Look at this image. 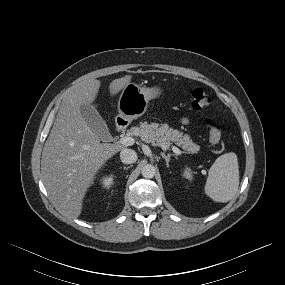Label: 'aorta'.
Masks as SVG:
<instances>
[{
    "label": "aorta",
    "instance_id": "obj_1",
    "mask_svg": "<svg viewBox=\"0 0 285 285\" xmlns=\"http://www.w3.org/2000/svg\"><path fill=\"white\" fill-rule=\"evenodd\" d=\"M155 173L156 169L151 164L144 165L141 169V174L145 178H153L155 176Z\"/></svg>",
    "mask_w": 285,
    "mask_h": 285
}]
</instances>
